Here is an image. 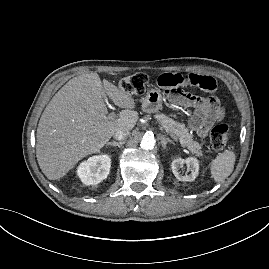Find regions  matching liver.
Wrapping results in <instances>:
<instances>
[{
	"instance_id": "obj_1",
	"label": "liver",
	"mask_w": 269,
	"mask_h": 269,
	"mask_svg": "<svg viewBox=\"0 0 269 269\" xmlns=\"http://www.w3.org/2000/svg\"><path fill=\"white\" fill-rule=\"evenodd\" d=\"M109 97L122 110L107 115ZM134 99L97 73L69 80L51 99L39 120L36 157L50 180H59L82 158L98 153L120 129L131 130L137 120Z\"/></svg>"
}]
</instances>
